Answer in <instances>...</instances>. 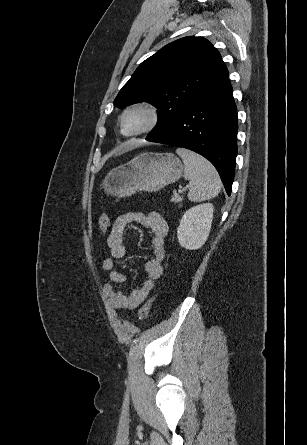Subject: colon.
Returning a JSON list of instances; mask_svg holds the SVG:
<instances>
[{
	"instance_id": "1",
	"label": "colon",
	"mask_w": 307,
	"mask_h": 445,
	"mask_svg": "<svg viewBox=\"0 0 307 445\" xmlns=\"http://www.w3.org/2000/svg\"><path fill=\"white\" fill-rule=\"evenodd\" d=\"M110 222H111V218L109 216V214L107 213H103L102 215H100L99 219H98V230L100 233H105L109 226H110ZM155 297L150 298L147 302L144 303V305L139 309L138 315H139V319L140 320H144L150 309L152 306V303L154 301Z\"/></svg>"
}]
</instances>
